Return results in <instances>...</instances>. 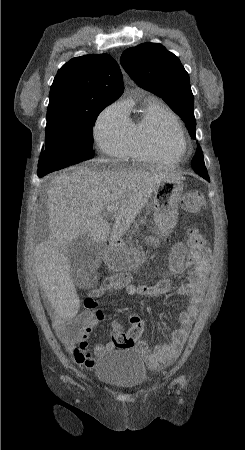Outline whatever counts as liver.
Returning a JSON list of instances; mask_svg holds the SVG:
<instances>
[{
    "instance_id": "1",
    "label": "liver",
    "mask_w": 245,
    "mask_h": 450,
    "mask_svg": "<svg viewBox=\"0 0 245 450\" xmlns=\"http://www.w3.org/2000/svg\"><path fill=\"white\" fill-rule=\"evenodd\" d=\"M72 172L55 176L48 190L49 239L34 252L38 281L56 312L73 318L79 297L66 254L71 242L86 236L96 244L120 239L148 203L155 187L165 179L182 177L167 171L142 169H104L74 167ZM108 206L114 221L112 231L105 219Z\"/></svg>"
}]
</instances>
